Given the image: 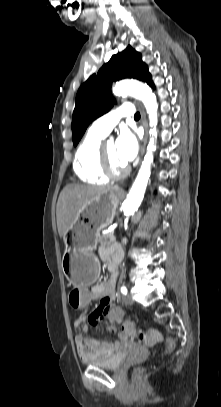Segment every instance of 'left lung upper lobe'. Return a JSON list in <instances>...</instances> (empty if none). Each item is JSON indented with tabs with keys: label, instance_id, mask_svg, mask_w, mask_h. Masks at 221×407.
<instances>
[{
	"label": "left lung upper lobe",
	"instance_id": "obj_1",
	"mask_svg": "<svg viewBox=\"0 0 221 407\" xmlns=\"http://www.w3.org/2000/svg\"><path fill=\"white\" fill-rule=\"evenodd\" d=\"M123 78H135L154 86L148 67L141 59V54L131 46H128L123 52L113 55L97 74L89 77L79 88L72 120V139L75 146L87 126L108 112L114 105V98L111 94L112 81Z\"/></svg>",
	"mask_w": 221,
	"mask_h": 407
}]
</instances>
